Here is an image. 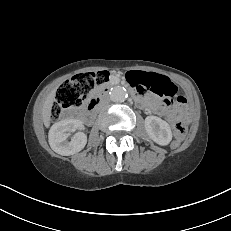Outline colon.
Listing matches in <instances>:
<instances>
[{
  "label": "colon",
  "mask_w": 231,
  "mask_h": 231,
  "mask_svg": "<svg viewBox=\"0 0 231 231\" xmlns=\"http://www.w3.org/2000/svg\"><path fill=\"white\" fill-rule=\"evenodd\" d=\"M109 77V72L99 71L78 74L70 80H67L57 91L56 98L50 110L51 118L58 119L65 110L81 106L90 92L108 82ZM132 78L135 81H138L140 76L133 75ZM132 86L137 88V85L134 82L132 83ZM173 95L174 94L169 97H172ZM174 131L176 140L173 142L172 146L176 147L185 135V121L176 120L174 124Z\"/></svg>",
  "instance_id": "obj_1"
}]
</instances>
